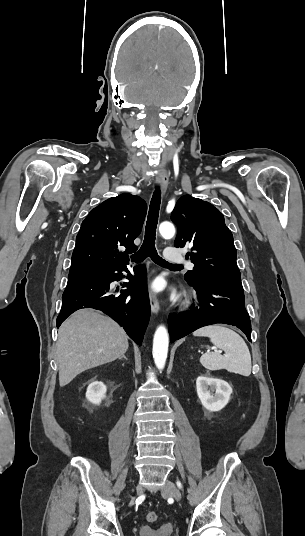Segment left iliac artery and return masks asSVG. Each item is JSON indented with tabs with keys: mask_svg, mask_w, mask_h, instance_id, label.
Masks as SVG:
<instances>
[{
	"mask_svg": "<svg viewBox=\"0 0 305 536\" xmlns=\"http://www.w3.org/2000/svg\"><path fill=\"white\" fill-rule=\"evenodd\" d=\"M177 485L179 488H181V483L180 482H177Z\"/></svg>",
	"mask_w": 305,
	"mask_h": 536,
	"instance_id": "left-iliac-artery-1",
	"label": "left iliac artery"
}]
</instances>
